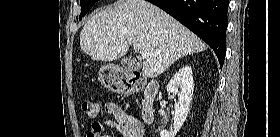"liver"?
Returning <instances> with one entry per match:
<instances>
[{
	"label": "liver",
	"instance_id": "1",
	"mask_svg": "<svg viewBox=\"0 0 280 137\" xmlns=\"http://www.w3.org/2000/svg\"><path fill=\"white\" fill-rule=\"evenodd\" d=\"M138 43L143 74L154 78L179 58L202 52L205 43L159 7L145 0H122L93 15L80 34L81 50L93 60L113 61Z\"/></svg>",
	"mask_w": 280,
	"mask_h": 137
}]
</instances>
